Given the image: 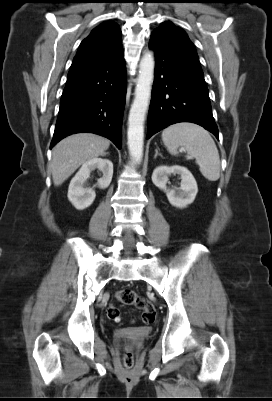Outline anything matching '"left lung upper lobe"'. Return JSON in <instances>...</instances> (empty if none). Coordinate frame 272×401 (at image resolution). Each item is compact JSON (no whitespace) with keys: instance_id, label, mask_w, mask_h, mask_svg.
<instances>
[{"instance_id":"obj_1","label":"left lung upper lobe","mask_w":272,"mask_h":401,"mask_svg":"<svg viewBox=\"0 0 272 401\" xmlns=\"http://www.w3.org/2000/svg\"><path fill=\"white\" fill-rule=\"evenodd\" d=\"M153 32L160 34L165 40H167L170 44H172L179 50L197 56L196 49L193 43L188 38L187 34L179 27L173 25V23L169 21L164 22L159 28H156Z\"/></svg>"}]
</instances>
